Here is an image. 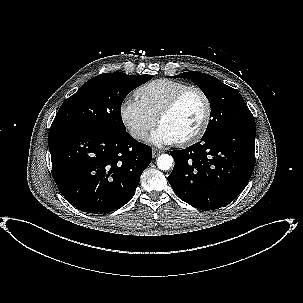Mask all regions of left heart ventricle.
<instances>
[{"mask_svg":"<svg viewBox=\"0 0 303 303\" xmlns=\"http://www.w3.org/2000/svg\"><path fill=\"white\" fill-rule=\"evenodd\" d=\"M204 113V100L197 92H190L177 108L161 121L160 126L165 127L180 141L198 129Z\"/></svg>","mask_w":303,"mask_h":303,"instance_id":"1","label":"left heart ventricle"}]
</instances>
